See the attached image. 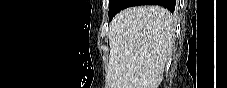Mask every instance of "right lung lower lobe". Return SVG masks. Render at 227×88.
<instances>
[{"mask_svg":"<svg viewBox=\"0 0 227 88\" xmlns=\"http://www.w3.org/2000/svg\"><path fill=\"white\" fill-rule=\"evenodd\" d=\"M147 4L163 6L173 13L176 5V0H129L125 8L130 6L147 5Z\"/></svg>","mask_w":227,"mask_h":88,"instance_id":"1","label":"right lung lower lobe"}]
</instances>
